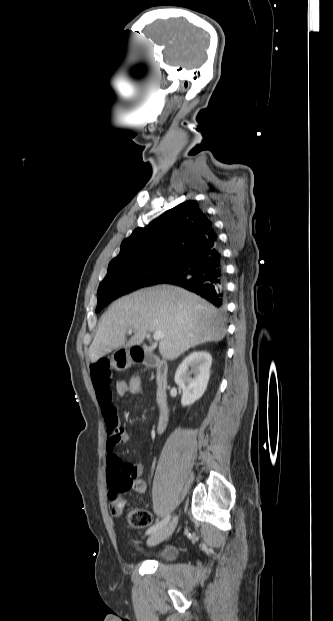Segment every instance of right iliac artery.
Wrapping results in <instances>:
<instances>
[{"label": "right iliac artery", "mask_w": 333, "mask_h": 621, "mask_svg": "<svg viewBox=\"0 0 333 621\" xmlns=\"http://www.w3.org/2000/svg\"><path fill=\"white\" fill-rule=\"evenodd\" d=\"M170 516H167L166 518H164L162 521L157 522L156 524H154L153 526H151L147 531L146 534H152L154 532H156L157 530H159L160 528H162L164 525H166L169 521Z\"/></svg>", "instance_id": "82829eb1"}]
</instances>
